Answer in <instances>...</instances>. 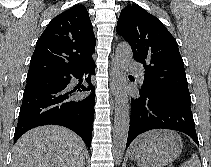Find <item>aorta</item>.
Here are the masks:
<instances>
[{
	"instance_id": "obj_1",
	"label": "aorta",
	"mask_w": 211,
	"mask_h": 167,
	"mask_svg": "<svg viewBox=\"0 0 211 167\" xmlns=\"http://www.w3.org/2000/svg\"><path fill=\"white\" fill-rule=\"evenodd\" d=\"M131 59L132 49L130 45L126 42L119 43L114 56V68L118 87L115 94L113 156L117 163L123 158L129 131L130 106L126 82Z\"/></svg>"
}]
</instances>
